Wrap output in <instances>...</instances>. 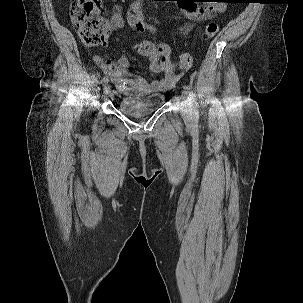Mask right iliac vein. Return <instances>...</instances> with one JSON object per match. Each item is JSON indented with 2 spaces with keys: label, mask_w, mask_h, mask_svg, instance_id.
I'll return each instance as SVG.
<instances>
[{
  "label": "right iliac vein",
  "mask_w": 303,
  "mask_h": 303,
  "mask_svg": "<svg viewBox=\"0 0 303 303\" xmlns=\"http://www.w3.org/2000/svg\"><path fill=\"white\" fill-rule=\"evenodd\" d=\"M103 90H104V93H108L110 91V85L108 83H106L104 86H103Z\"/></svg>",
  "instance_id": "63e3f726"
}]
</instances>
